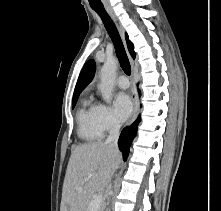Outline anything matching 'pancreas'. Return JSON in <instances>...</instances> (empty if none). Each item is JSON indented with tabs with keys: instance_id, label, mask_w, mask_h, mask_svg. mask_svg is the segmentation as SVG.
<instances>
[{
	"instance_id": "obj_1",
	"label": "pancreas",
	"mask_w": 221,
	"mask_h": 211,
	"mask_svg": "<svg viewBox=\"0 0 221 211\" xmlns=\"http://www.w3.org/2000/svg\"><path fill=\"white\" fill-rule=\"evenodd\" d=\"M92 201V198H89L86 203H85V208H84V211H89V205H90V202ZM97 211H104V207L101 206Z\"/></svg>"
}]
</instances>
